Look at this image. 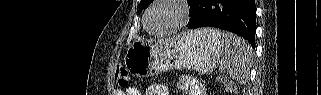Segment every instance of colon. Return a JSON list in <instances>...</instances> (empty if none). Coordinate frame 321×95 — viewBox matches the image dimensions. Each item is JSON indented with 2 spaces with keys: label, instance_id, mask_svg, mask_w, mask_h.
I'll use <instances>...</instances> for the list:
<instances>
[{
  "label": "colon",
  "instance_id": "obj_1",
  "mask_svg": "<svg viewBox=\"0 0 321 95\" xmlns=\"http://www.w3.org/2000/svg\"><path fill=\"white\" fill-rule=\"evenodd\" d=\"M115 77H116V80L118 82V85L121 88H127L128 87V85H129V75H128L127 70L124 67L118 66L116 68Z\"/></svg>",
  "mask_w": 321,
  "mask_h": 95
}]
</instances>
